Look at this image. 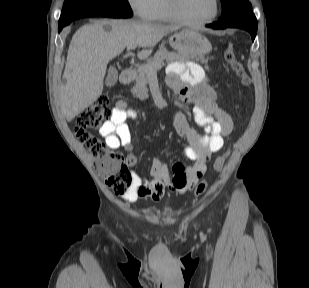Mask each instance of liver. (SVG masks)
I'll list each match as a JSON object with an SVG mask.
<instances>
[{
	"instance_id": "liver-1",
	"label": "liver",
	"mask_w": 309,
	"mask_h": 288,
	"mask_svg": "<svg viewBox=\"0 0 309 288\" xmlns=\"http://www.w3.org/2000/svg\"><path fill=\"white\" fill-rule=\"evenodd\" d=\"M177 27L133 20H101L80 27L72 37L63 74L66 83L59 91V105L67 121L95 102L103 91L109 61L126 47L152 48Z\"/></svg>"
}]
</instances>
